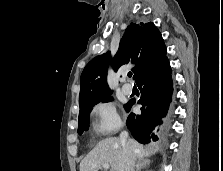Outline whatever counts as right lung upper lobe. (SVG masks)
Returning <instances> with one entry per match:
<instances>
[{
  "instance_id": "cb5924a9",
  "label": "right lung upper lobe",
  "mask_w": 223,
  "mask_h": 171,
  "mask_svg": "<svg viewBox=\"0 0 223 171\" xmlns=\"http://www.w3.org/2000/svg\"><path fill=\"white\" fill-rule=\"evenodd\" d=\"M166 59V47L155 25L152 22L131 23L112 61L108 51L92 59L84 68L80 81V108L112 94L106 81L110 63L115 71L120 65L134 63L133 78L137 82Z\"/></svg>"
}]
</instances>
